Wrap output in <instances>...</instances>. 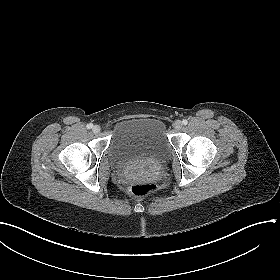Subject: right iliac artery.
Wrapping results in <instances>:
<instances>
[{
    "instance_id": "82829eb1",
    "label": "right iliac artery",
    "mask_w": 280,
    "mask_h": 280,
    "mask_svg": "<svg viewBox=\"0 0 280 280\" xmlns=\"http://www.w3.org/2000/svg\"><path fill=\"white\" fill-rule=\"evenodd\" d=\"M88 129H91L92 127H93V124L92 123H89V124H87V126H86Z\"/></svg>"
}]
</instances>
